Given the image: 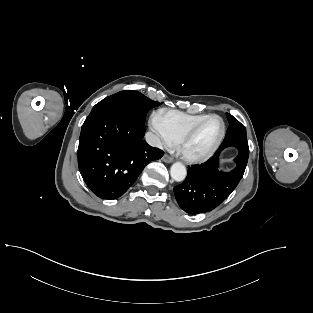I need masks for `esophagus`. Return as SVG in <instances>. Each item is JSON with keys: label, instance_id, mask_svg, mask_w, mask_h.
Wrapping results in <instances>:
<instances>
[{"label": "esophagus", "instance_id": "esophagus-1", "mask_svg": "<svg viewBox=\"0 0 313 313\" xmlns=\"http://www.w3.org/2000/svg\"><path fill=\"white\" fill-rule=\"evenodd\" d=\"M162 159L166 163H172L173 162V158L167 154H165Z\"/></svg>", "mask_w": 313, "mask_h": 313}]
</instances>
